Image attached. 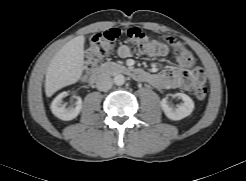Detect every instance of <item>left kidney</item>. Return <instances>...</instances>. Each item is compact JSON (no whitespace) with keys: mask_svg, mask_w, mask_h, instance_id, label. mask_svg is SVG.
Returning a JSON list of instances; mask_svg holds the SVG:
<instances>
[{"mask_svg":"<svg viewBox=\"0 0 246 181\" xmlns=\"http://www.w3.org/2000/svg\"><path fill=\"white\" fill-rule=\"evenodd\" d=\"M172 97H178L183 100V104L178 106L177 108H173L170 106L168 102V96L163 98L161 101V107L164 111L165 115L171 120H181L187 116H189L194 109L193 100L184 93H177L172 95Z\"/></svg>","mask_w":246,"mask_h":181,"instance_id":"obj_1","label":"left kidney"}]
</instances>
